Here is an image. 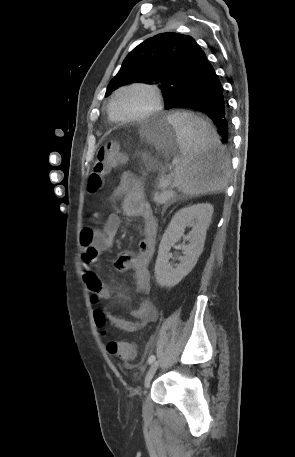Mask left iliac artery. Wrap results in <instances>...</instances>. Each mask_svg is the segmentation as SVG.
<instances>
[{"mask_svg": "<svg viewBox=\"0 0 295 457\" xmlns=\"http://www.w3.org/2000/svg\"><path fill=\"white\" fill-rule=\"evenodd\" d=\"M155 361V356L154 355H151L149 358H148V363L151 364Z\"/></svg>", "mask_w": 295, "mask_h": 457, "instance_id": "obj_1", "label": "left iliac artery"}]
</instances>
